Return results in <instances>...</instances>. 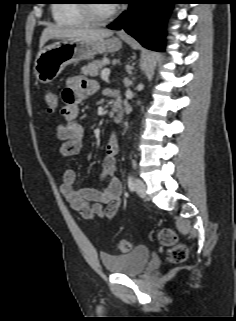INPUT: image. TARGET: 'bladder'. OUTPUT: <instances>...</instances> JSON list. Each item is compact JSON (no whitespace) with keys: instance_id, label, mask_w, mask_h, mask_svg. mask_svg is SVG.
<instances>
[{"instance_id":"1","label":"bladder","mask_w":236,"mask_h":321,"mask_svg":"<svg viewBox=\"0 0 236 321\" xmlns=\"http://www.w3.org/2000/svg\"><path fill=\"white\" fill-rule=\"evenodd\" d=\"M150 257V249L140 245L125 254H102L101 261L109 273L135 276L143 271Z\"/></svg>"}]
</instances>
